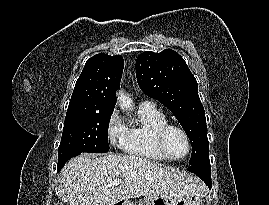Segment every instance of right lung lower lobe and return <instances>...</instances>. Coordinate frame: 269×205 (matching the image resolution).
<instances>
[{
    "label": "right lung lower lobe",
    "mask_w": 269,
    "mask_h": 205,
    "mask_svg": "<svg viewBox=\"0 0 269 205\" xmlns=\"http://www.w3.org/2000/svg\"><path fill=\"white\" fill-rule=\"evenodd\" d=\"M79 152H66L62 154L60 157H58V165H57V171L59 172L61 168L64 166V164L72 157L80 155Z\"/></svg>",
    "instance_id": "right-lung-lower-lobe-1"
}]
</instances>
